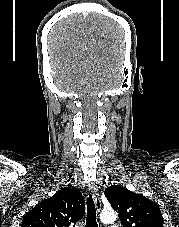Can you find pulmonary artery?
<instances>
[{
	"instance_id": "e3ab8cb5",
	"label": "pulmonary artery",
	"mask_w": 179,
	"mask_h": 227,
	"mask_svg": "<svg viewBox=\"0 0 179 227\" xmlns=\"http://www.w3.org/2000/svg\"><path fill=\"white\" fill-rule=\"evenodd\" d=\"M109 227H121L119 224H111Z\"/></svg>"
}]
</instances>
